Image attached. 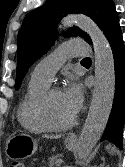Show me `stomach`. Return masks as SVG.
I'll list each match as a JSON object with an SVG mask.
<instances>
[{
	"label": "stomach",
	"mask_w": 125,
	"mask_h": 167,
	"mask_svg": "<svg viewBox=\"0 0 125 167\" xmlns=\"http://www.w3.org/2000/svg\"><path fill=\"white\" fill-rule=\"evenodd\" d=\"M66 147L72 150L75 147V143L66 142ZM37 148V141L25 133H13L7 138L6 154L13 160L32 156L37 151Z\"/></svg>",
	"instance_id": "1"
}]
</instances>
